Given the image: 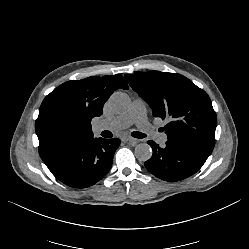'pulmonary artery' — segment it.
<instances>
[{"instance_id":"pulmonary-artery-1","label":"pulmonary artery","mask_w":249,"mask_h":249,"mask_svg":"<svg viewBox=\"0 0 249 249\" xmlns=\"http://www.w3.org/2000/svg\"><path fill=\"white\" fill-rule=\"evenodd\" d=\"M133 124L137 125V127L142 131L152 134L160 145H165L167 134L156 132L154 126L149 123L145 102L140 98H136L132 102L131 108L127 113L110 119H104L95 124L93 126V132L100 133L104 130H121L126 129Z\"/></svg>"}]
</instances>
